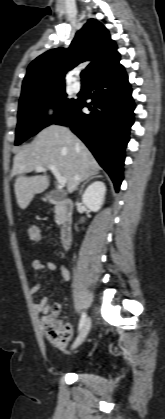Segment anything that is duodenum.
<instances>
[{
    "mask_svg": "<svg viewBox=\"0 0 165 419\" xmlns=\"http://www.w3.org/2000/svg\"><path fill=\"white\" fill-rule=\"evenodd\" d=\"M50 202L57 207L60 220V239L63 248H68L73 234V202L70 199H57L50 195Z\"/></svg>",
    "mask_w": 165,
    "mask_h": 419,
    "instance_id": "duodenum-1",
    "label": "duodenum"
}]
</instances>
